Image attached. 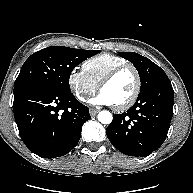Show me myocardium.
I'll use <instances>...</instances> for the list:
<instances>
[{
    "mask_svg": "<svg viewBox=\"0 0 193 193\" xmlns=\"http://www.w3.org/2000/svg\"><path fill=\"white\" fill-rule=\"evenodd\" d=\"M125 70H131L134 73L135 79H136L135 89H134L133 94L130 96V98L127 101H125L124 103L119 104V105H113V108L116 111L127 110L130 107H132L135 104V102L137 101V99L140 95V92H141V87H142L141 75H140L138 69L131 63L117 66L114 69H112L110 72H108L98 83V89L101 91V89L106 84L111 82L118 74H120L121 72H123Z\"/></svg>",
    "mask_w": 193,
    "mask_h": 193,
    "instance_id": "obj_1",
    "label": "myocardium"
}]
</instances>
